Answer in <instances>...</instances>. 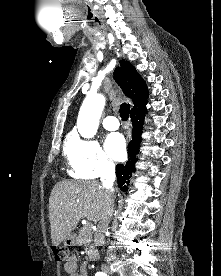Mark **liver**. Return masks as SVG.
<instances>
[{"label":"liver","mask_w":221,"mask_h":276,"mask_svg":"<svg viewBox=\"0 0 221 276\" xmlns=\"http://www.w3.org/2000/svg\"><path fill=\"white\" fill-rule=\"evenodd\" d=\"M109 192L97 181H62L49 198L51 240L59 245L86 218L97 222L105 214Z\"/></svg>","instance_id":"obj_1"}]
</instances>
